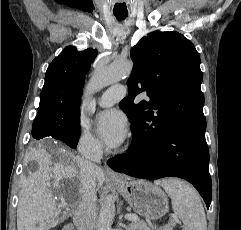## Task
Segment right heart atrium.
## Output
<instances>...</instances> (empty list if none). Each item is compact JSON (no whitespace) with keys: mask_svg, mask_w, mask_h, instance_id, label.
Wrapping results in <instances>:
<instances>
[{"mask_svg":"<svg viewBox=\"0 0 241 230\" xmlns=\"http://www.w3.org/2000/svg\"><path fill=\"white\" fill-rule=\"evenodd\" d=\"M77 148L85 156L93 157L102 152V145L87 130H81L77 138Z\"/></svg>","mask_w":241,"mask_h":230,"instance_id":"d8ad5b80","label":"right heart atrium"}]
</instances>
